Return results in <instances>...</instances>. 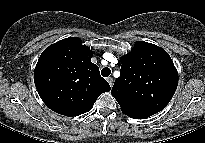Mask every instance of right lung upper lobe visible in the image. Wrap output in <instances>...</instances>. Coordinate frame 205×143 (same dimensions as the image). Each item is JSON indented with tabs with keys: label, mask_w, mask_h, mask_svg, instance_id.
<instances>
[{
	"label": "right lung upper lobe",
	"mask_w": 205,
	"mask_h": 143,
	"mask_svg": "<svg viewBox=\"0 0 205 143\" xmlns=\"http://www.w3.org/2000/svg\"><path fill=\"white\" fill-rule=\"evenodd\" d=\"M93 52L79 38L60 40L40 55L34 82L43 102L65 116L91 110L100 94L110 91L99 68L91 62Z\"/></svg>",
	"instance_id": "obj_1"
}]
</instances>
